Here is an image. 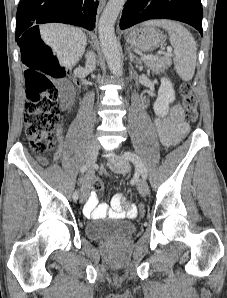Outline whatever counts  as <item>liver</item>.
Segmentation results:
<instances>
[{
	"instance_id": "6515ba94",
	"label": "liver",
	"mask_w": 227,
	"mask_h": 298,
	"mask_svg": "<svg viewBox=\"0 0 227 298\" xmlns=\"http://www.w3.org/2000/svg\"><path fill=\"white\" fill-rule=\"evenodd\" d=\"M40 34L66 69L71 70L84 54L87 38L78 28L57 23L46 24L40 27Z\"/></svg>"
}]
</instances>
